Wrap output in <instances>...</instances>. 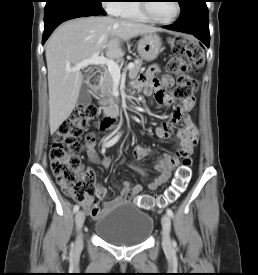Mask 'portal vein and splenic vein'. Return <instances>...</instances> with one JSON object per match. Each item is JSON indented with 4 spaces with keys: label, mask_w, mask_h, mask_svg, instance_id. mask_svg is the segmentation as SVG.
Listing matches in <instances>:
<instances>
[{
    "label": "portal vein and splenic vein",
    "mask_w": 258,
    "mask_h": 275,
    "mask_svg": "<svg viewBox=\"0 0 258 275\" xmlns=\"http://www.w3.org/2000/svg\"><path fill=\"white\" fill-rule=\"evenodd\" d=\"M89 65H105L108 68V71L111 73L113 79L120 80L121 73L119 65L112 59H108L104 56H99V53L93 54L90 58L85 59L78 63L75 67L66 68L67 71H79L82 68L88 67ZM134 67L133 63H129L127 69H131Z\"/></svg>",
    "instance_id": "1"
}]
</instances>
